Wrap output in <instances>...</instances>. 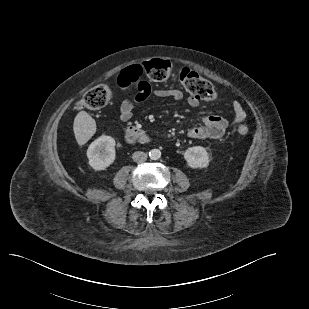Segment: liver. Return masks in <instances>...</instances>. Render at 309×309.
I'll return each mask as SVG.
<instances>
[{
    "label": "liver",
    "instance_id": "liver-1",
    "mask_svg": "<svg viewBox=\"0 0 309 309\" xmlns=\"http://www.w3.org/2000/svg\"><path fill=\"white\" fill-rule=\"evenodd\" d=\"M73 131L77 143L82 146L95 134L96 122L87 112L80 111L74 119Z\"/></svg>",
    "mask_w": 309,
    "mask_h": 309
}]
</instances>
